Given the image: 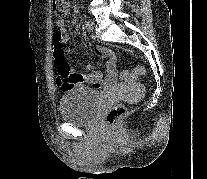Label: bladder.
Returning <instances> with one entry per match:
<instances>
[{"instance_id":"1","label":"bladder","mask_w":207,"mask_h":179,"mask_svg":"<svg viewBox=\"0 0 207 179\" xmlns=\"http://www.w3.org/2000/svg\"><path fill=\"white\" fill-rule=\"evenodd\" d=\"M60 117L75 126L92 124L100 111V94L90 88L68 90L61 98Z\"/></svg>"}]
</instances>
